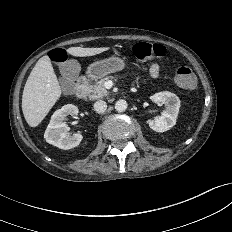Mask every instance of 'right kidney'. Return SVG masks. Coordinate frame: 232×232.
<instances>
[{"instance_id":"ca27d5eb","label":"right kidney","mask_w":232,"mask_h":232,"mask_svg":"<svg viewBox=\"0 0 232 232\" xmlns=\"http://www.w3.org/2000/svg\"><path fill=\"white\" fill-rule=\"evenodd\" d=\"M78 112V107L73 104L64 105L55 111L44 134L46 142L64 150L78 146L83 136L81 134L69 136V127L64 122L68 115H77Z\"/></svg>"}]
</instances>
